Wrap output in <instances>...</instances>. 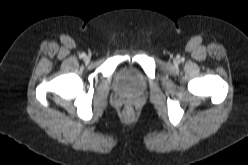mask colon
<instances>
[{
    "label": "colon",
    "instance_id": "colon-1",
    "mask_svg": "<svg viewBox=\"0 0 248 165\" xmlns=\"http://www.w3.org/2000/svg\"><path fill=\"white\" fill-rule=\"evenodd\" d=\"M126 114L128 115V116H131L132 115V110H131V108H127L126 109Z\"/></svg>",
    "mask_w": 248,
    "mask_h": 165
}]
</instances>
